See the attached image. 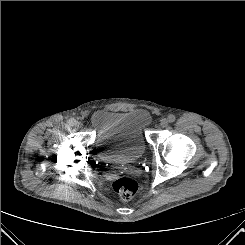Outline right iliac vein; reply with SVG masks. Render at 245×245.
Returning a JSON list of instances; mask_svg holds the SVG:
<instances>
[{
	"label": "right iliac vein",
	"mask_w": 245,
	"mask_h": 245,
	"mask_svg": "<svg viewBox=\"0 0 245 245\" xmlns=\"http://www.w3.org/2000/svg\"><path fill=\"white\" fill-rule=\"evenodd\" d=\"M76 126H77L78 128H82V127H83V123H82V122H77V123H76Z\"/></svg>",
	"instance_id": "1"
}]
</instances>
